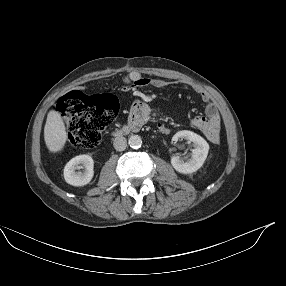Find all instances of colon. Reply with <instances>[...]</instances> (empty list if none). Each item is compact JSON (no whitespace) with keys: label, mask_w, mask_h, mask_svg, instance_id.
Segmentation results:
<instances>
[{"label":"colon","mask_w":286,"mask_h":286,"mask_svg":"<svg viewBox=\"0 0 286 286\" xmlns=\"http://www.w3.org/2000/svg\"><path fill=\"white\" fill-rule=\"evenodd\" d=\"M118 108V100L111 94L86 96L78 91L64 94L56 104V110L67 127L69 144L81 150L98 144L101 135L115 118ZM149 120L164 127L162 115L158 111L151 112ZM201 137L206 143L215 144L221 139L222 130L217 124L208 123L202 128Z\"/></svg>","instance_id":"colon-1"}]
</instances>
